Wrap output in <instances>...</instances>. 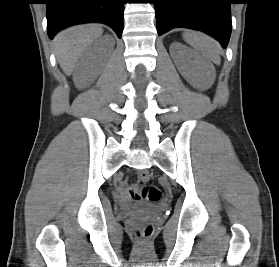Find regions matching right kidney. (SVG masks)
<instances>
[{
	"label": "right kidney",
	"mask_w": 279,
	"mask_h": 267,
	"mask_svg": "<svg viewBox=\"0 0 279 267\" xmlns=\"http://www.w3.org/2000/svg\"><path fill=\"white\" fill-rule=\"evenodd\" d=\"M87 65H88V58L86 57L80 64V71H83L84 74H86L88 72Z\"/></svg>",
	"instance_id": "right-kidney-1"
}]
</instances>
